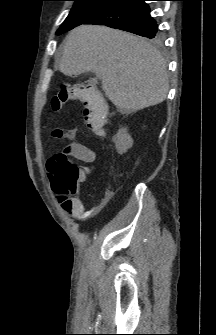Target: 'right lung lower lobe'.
Instances as JSON below:
<instances>
[{"label": "right lung lower lobe", "instance_id": "98d812e1", "mask_svg": "<svg viewBox=\"0 0 216 335\" xmlns=\"http://www.w3.org/2000/svg\"><path fill=\"white\" fill-rule=\"evenodd\" d=\"M147 0H117L84 24L106 25L143 37L158 36V25L150 15Z\"/></svg>", "mask_w": 216, "mask_h": 335}]
</instances>
